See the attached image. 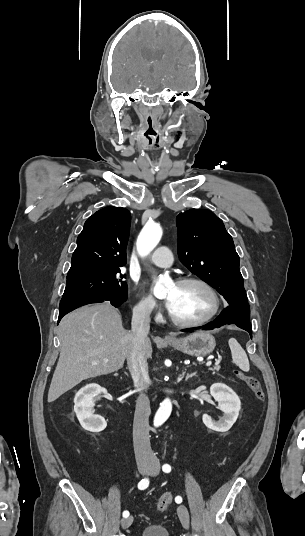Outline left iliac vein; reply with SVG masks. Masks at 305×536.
<instances>
[{"label":"left iliac vein","mask_w":305,"mask_h":536,"mask_svg":"<svg viewBox=\"0 0 305 536\" xmlns=\"http://www.w3.org/2000/svg\"><path fill=\"white\" fill-rule=\"evenodd\" d=\"M159 470H160V467L158 465H155L149 470L148 474L154 476L159 472ZM177 514L180 518L182 525L185 527V529H188L189 528V513H188L187 508L184 505H179L177 507Z\"/></svg>","instance_id":"4c4485c4"}]
</instances>
